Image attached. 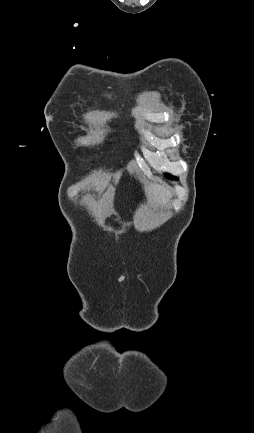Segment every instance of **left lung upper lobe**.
I'll return each instance as SVG.
<instances>
[{"label":"left lung upper lobe","instance_id":"obj_1","mask_svg":"<svg viewBox=\"0 0 254 433\" xmlns=\"http://www.w3.org/2000/svg\"><path fill=\"white\" fill-rule=\"evenodd\" d=\"M166 177H167L168 179H171V176H169V175H166Z\"/></svg>","mask_w":254,"mask_h":433}]
</instances>
